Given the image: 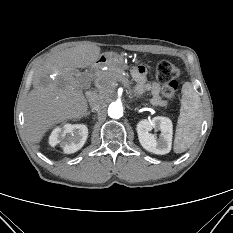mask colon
I'll return each mask as SVG.
<instances>
[{"label":"colon","instance_id":"colon-1","mask_svg":"<svg viewBox=\"0 0 233 233\" xmlns=\"http://www.w3.org/2000/svg\"><path fill=\"white\" fill-rule=\"evenodd\" d=\"M156 76L159 81L164 83L163 96L170 100L174 99L178 91L179 68L169 61H160L156 66Z\"/></svg>","mask_w":233,"mask_h":233}]
</instances>
